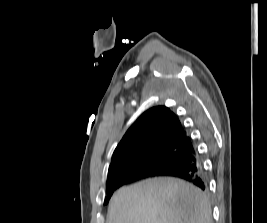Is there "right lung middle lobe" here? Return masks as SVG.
<instances>
[{"label":"right lung middle lobe","mask_w":267,"mask_h":223,"mask_svg":"<svg viewBox=\"0 0 267 223\" xmlns=\"http://www.w3.org/2000/svg\"><path fill=\"white\" fill-rule=\"evenodd\" d=\"M185 150L179 146H165L158 149L155 155L145 159L134 160L126 165V172L132 170L148 171L152 173H163L168 170L176 160L183 156ZM112 193H108L105 204Z\"/></svg>","instance_id":"1"}]
</instances>
